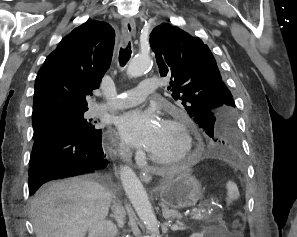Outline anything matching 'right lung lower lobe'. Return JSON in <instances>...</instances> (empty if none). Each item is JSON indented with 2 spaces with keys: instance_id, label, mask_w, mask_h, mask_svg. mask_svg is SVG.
I'll list each match as a JSON object with an SVG mask.
<instances>
[{
  "instance_id": "obj_1",
  "label": "right lung lower lobe",
  "mask_w": 297,
  "mask_h": 237,
  "mask_svg": "<svg viewBox=\"0 0 297 237\" xmlns=\"http://www.w3.org/2000/svg\"><path fill=\"white\" fill-rule=\"evenodd\" d=\"M29 162V192L44 183L83 174L100 173L108 164L101 145V131L93 138L76 134L62 124L39 131Z\"/></svg>"
}]
</instances>
